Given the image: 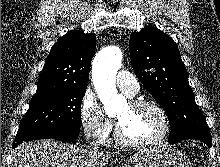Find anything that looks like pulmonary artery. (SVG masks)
<instances>
[{"instance_id":"pulmonary-artery-1","label":"pulmonary artery","mask_w":220,"mask_h":167,"mask_svg":"<svg viewBox=\"0 0 220 167\" xmlns=\"http://www.w3.org/2000/svg\"><path fill=\"white\" fill-rule=\"evenodd\" d=\"M116 83L119 89L128 97H133L139 91L137 79L128 71H119L116 76Z\"/></svg>"}]
</instances>
